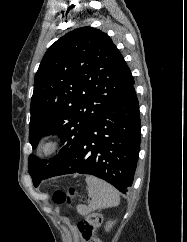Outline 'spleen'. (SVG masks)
I'll list each match as a JSON object with an SVG mask.
<instances>
[{"label":"spleen","mask_w":187,"mask_h":242,"mask_svg":"<svg viewBox=\"0 0 187 242\" xmlns=\"http://www.w3.org/2000/svg\"><path fill=\"white\" fill-rule=\"evenodd\" d=\"M86 182L91 201L88 207L77 206V211L81 215H87L98 209L115 207L119 204V193L112 185L94 176H88Z\"/></svg>","instance_id":"obj_1"}]
</instances>
